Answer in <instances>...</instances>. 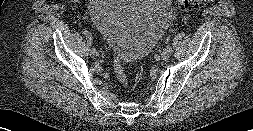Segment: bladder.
Instances as JSON below:
<instances>
[{"instance_id":"bladder-1","label":"bladder","mask_w":253,"mask_h":131,"mask_svg":"<svg viewBox=\"0 0 253 131\" xmlns=\"http://www.w3.org/2000/svg\"><path fill=\"white\" fill-rule=\"evenodd\" d=\"M89 9L108 48L128 64L152 50L172 17L170 0H90Z\"/></svg>"}]
</instances>
